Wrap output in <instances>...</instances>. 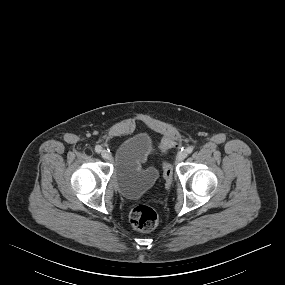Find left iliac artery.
Listing matches in <instances>:
<instances>
[{"mask_svg":"<svg viewBox=\"0 0 285 285\" xmlns=\"http://www.w3.org/2000/svg\"><path fill=\"white\" fill-rule=\"evenodd\" d=\"M193 147L192 146H189V147H187V149H186V152L187 153H192L193 152Z\"/></svg>","mask_w":285,"mask_h":285,"instance_id":"1","label":"left iliac artery"}]
</instances>
